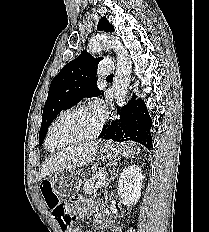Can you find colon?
<instances>
[{"instance_id": "1", "label": "colon", "mask_w": 209, "mask_h": 232, "mask_svg": "<svg viewBox=\"0 0 209 232\" xmlns=\"http://www.w3.org/2000/svg\"><path fill=\"white\" fill-rule=\"evenodd\" d=\"M41 191L47 205L51 208L53 216L57 221L56 225L63 229L68 228L72 223L73 217L71 213H67V209H65L66 203H62L59 200L49 182H44L42 184Z\"/></svg>"}]
</instances>
